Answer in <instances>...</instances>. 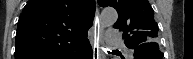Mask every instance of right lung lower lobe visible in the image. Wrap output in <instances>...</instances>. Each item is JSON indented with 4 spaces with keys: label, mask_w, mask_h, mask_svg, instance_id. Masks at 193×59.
Here are the masks:
<instances>
[{
    "label": "right lung lower lobe",
    "mask_w": 193,
    "mask_h": 59,
    "mask_svg": "<svg viewBox=\"0 0 193 59\" xmlns=\"http://www.w3.org/2000/svg\"><path fill=\"white\" fill-rule=\"evenodd\" d=\"M64 59H92V49L89 41L84 43L73 53L64 57Z\"/></svg>",
    "instance_id": "right-lung-lower-lobe-1"
}]
</instances>
